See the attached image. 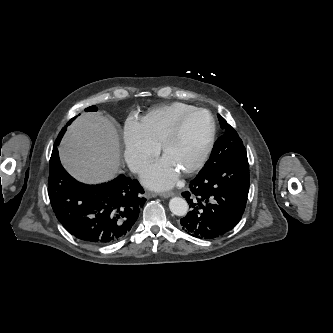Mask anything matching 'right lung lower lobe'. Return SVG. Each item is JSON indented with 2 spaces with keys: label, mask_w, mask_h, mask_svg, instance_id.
<instances>
[{
  "label": "right lung lower lobe",
  "mask_w": 333,
  "mask_h": 333,
  "mask_svg": "<svg viewBox=\"0 0 333 333\" xmlns=\"http://www.w3.org/2000/svg\"><path fill=\"white\" fill-rule=\"evenodd\" d=\"M67 127V126H66ZM59 133L49 166L48 194L53 211L75 238L105 245L127 235L146 199L138 180L123 174L107 183L86 185L71 177L60 163Z\"/></svg>",
  "instance_id": "right-lung-lower-lobe-1"
}]
</instances>
